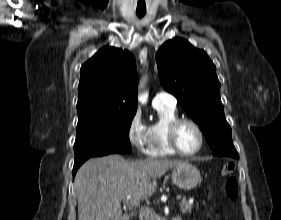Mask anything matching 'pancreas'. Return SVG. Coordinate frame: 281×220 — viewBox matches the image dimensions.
Listing matches in <instances>:
<instances>
[{
	"label": "pancreas",
	"instance_id": "pancreas-1",
	"mask_svg": "<svg viewBox=\"0 0 281 220\" xmlns=\"http://www.w3.org/2000/svg\"><path fill=\"white\" fill-rule=\"evenodd\" d=\"M193 204L190 203L186 198H183L180 202V210L182 213L191 212Z\"/></svg>",
	"mask_w": 281,
	"mask_h": 220
}]
</instances>
